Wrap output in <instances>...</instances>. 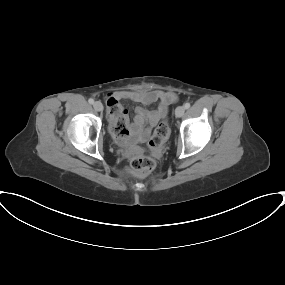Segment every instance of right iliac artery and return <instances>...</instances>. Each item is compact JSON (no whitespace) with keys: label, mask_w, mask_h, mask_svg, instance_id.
<instances>
[{"label":"right iliac artery","mask_w":285,"mask_h":285,"mask_svg":"<svg viewBox=\"0 0 285 285\" xmlns=\"http://www.w3.org/2000/svg\"><path fill=\"white\" fill-rule=\"evenodd\" d=\"M88 102H89L90 104H93V103H94V100H93L92 98H90V99L88 100Z\"/></svg>","instance_id":"82829eb1"}]
</instances>
